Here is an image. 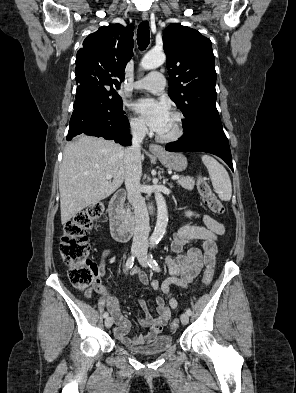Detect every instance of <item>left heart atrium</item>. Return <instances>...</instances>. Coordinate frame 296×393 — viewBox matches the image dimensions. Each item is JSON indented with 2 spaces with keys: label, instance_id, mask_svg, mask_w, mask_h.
Instances as JSON below:
<instances>
[{
  "label": "left heart atrium",
  "instance_id": "obj_1",
  "mask_svg": "<svg viewBox=\"0 0 296 393\" xmlns=\"http://www.w3.org/2000/svg\"><path fill=\"white\" fill-rule=\"evenodd\" d=\"M135 112L140 114L155 132H160L170 117L169 106L166 102L142 98L133 104Z\"/></svg>",
  "mask_w": 296,
  "mask_h": 393
}]
</instances>
